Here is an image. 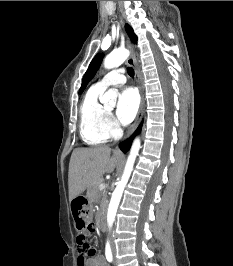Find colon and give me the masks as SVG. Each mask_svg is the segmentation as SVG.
Masks as SVG:
<instances>
[{
	"label": "colon",
	"instance_id": "1",
	"mask_svg": "<svg viewBox=\"0 0 233 266\" xmlns=\"http://www.w3.org/2000/svg\"><path fill=\"white\" fill-rule=\"evenodd\" d=\"M95 230L94 225L88 228L87 232H81L78 234L76 241L79 251V260L82 265L86 258L91 257L95 254V249L87 242V234Z\"/></svg>",
	"mask_w": 233,
	"mask_h": 266
}]
</instances>
